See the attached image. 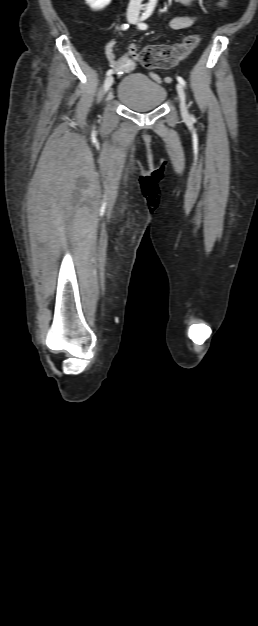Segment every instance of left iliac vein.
I'll return each instance as SVG.
<instances>
[{
  "label": "left iliac vein",
  "mask_w": 258,
  "mask_h": 626,
  "mask_svg": "<svg viewBox=\"0 0 258 626\" xmlns=\"http://www.w3.org/2000/svg\"><path fill=\"white\" fill-rule=\"evenodd\" d=\"M133 23H136V21H134ZM176 90H177V93H178L179 99H180L181 113H182L183 116H187L188 115V110H187L186 96H185V92H184L183 86L180 83H177L176 84Z\"/></svg>",
  "instance_id": "obj_1"
}]
</instances>
